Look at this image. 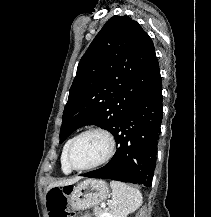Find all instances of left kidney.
<instances>
[{
    "mask_svg": "<svg viewBox=\"0 0 211 217\" xmlns=\"http://www.w3.org/2000/svg\"><path fill=\"white\" fill-rule=\"evenodd\" d=\"M101 217H116V216H114V215H112V214H110V213H108V212H105V213H103V214L101 215Z\"/></svg>",
    "mask_w": 211,
    "mask_h": 217,
    "instance_id": "1",
    "label": "left kidney"
}]
</instances>
